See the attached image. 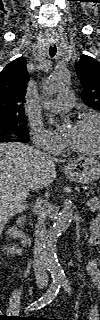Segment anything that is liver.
Listing matches in <instances>:
<instances>
[{
    "label": "liver",
    "mask_w": 100,
    "mask_h": 320,
    "mask_svg": "<svg viewBox=\"0 0 100 320\" xmlns=\"http://www.w3.org/2000/svg\"><path fill=\"white\" fill-rule=\"evenodd\" d=\"M57 159L19 142L0 144V215L9 217L26 209L30 189H39L56 178Z\"/></svg>",
    "instance_id": "obj_1"
}]
</instances>
